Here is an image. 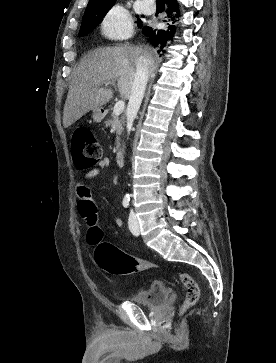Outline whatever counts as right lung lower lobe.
Here are the masks:
<instances>
[{"label": "right lung lower lobe", "mask_w": 276, "mask_h": 363, "mask_svg": "<svg viewBox=\"0 0 276 363\" xmlns=\"http://www.w3.org/2000/svg\"><path fill=\"white\" fill-rule=\"evenodd\" d=\"M166 13L168 21L170 22L166 30H157L148 26H144L142 28L143 33L148 37L151 44L158 49V52H164L165 50L163 49L175 35L177 26L176 23L179 21L180 17L179 4L177 0H167ZM140 27H142L141 24Z\"/></svg>", "instance_id": "obj_1"}]
</instances>
